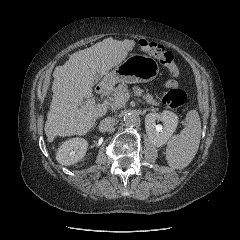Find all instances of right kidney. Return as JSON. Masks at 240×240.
Returning <instances> with one entry per match:
<instances>
[{"label": "right kidney", "mask_w": 240, "mask_h": 240, "mask_svg": "<svg viewBox=\"0 0 240 240\" xmlns=\"http://www.w3.org/2000/svg\"><path fill=\"white\" fill-rule=\"evenodd\" d=\"M88 148V142L83 138H71L63 142L56 153V160L64 166H69L82 160Z\"/></svg>", "instance_id": "right-kidney-1"}]
</instances>
